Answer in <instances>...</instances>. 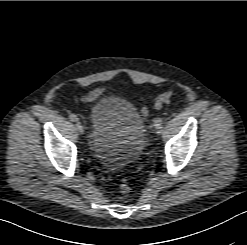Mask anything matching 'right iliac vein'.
<instances>
[{
    "instance_id": "63e3f726",
    "label": "right iliac vein",
    "mask_w": 247,
    "mask_h": 245,
    "mask_svg": "<svg viewBox=\"0 0 247 245\" xmlns=\"http://www.w3.org/2000/svg\"><path fill=\"white\" fill-rule=\"evenodd\" d=\"M76 128H77V130H78V132L80 134H83L84 133V127H83V125L80 122H77L76 123Z\"/></svg>"
}]
</instances>
